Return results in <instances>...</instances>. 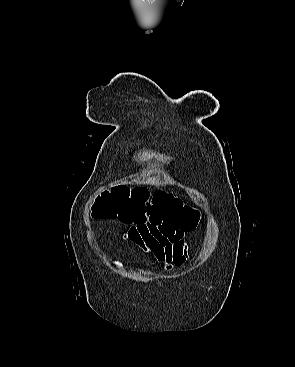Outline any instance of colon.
<instances>
[{
	"label": "colon",
	"mask_w": 295,
	"mask_h": 367,
	"mask_svg": "<svg viewBox=\"0 0 295 367\" xmlns=\"http://www.w3.org/2000/svg\"><path fill=\"white\" fill-rule=\"evenodd\" d=\"M199 213L165 192L150 196L141 187L115 186L103 194L95 207L96 218H118L124 223L167 221L185 231L193 230Z\"/></svg>",
	"instance_id": "5ec220e1"
}]
</instances>
